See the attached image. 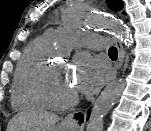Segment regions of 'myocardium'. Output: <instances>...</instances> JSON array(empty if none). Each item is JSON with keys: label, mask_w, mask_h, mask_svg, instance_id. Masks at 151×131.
<instances>
[{"label": "myocardium", "mask_w": 151, "mask_h": 131, "mask_svg": "<svg viewBox=\"0 0 151 131\" xmlns=\"http://www.w3.org/2000/svg\"><path fill=\"white\" fill-rule=\"evenodd\" d=\"M52 73L53 66L46 65L37 78L35 92L41 105L53 110H64L74 106L78 102L77 94H73L62 100H55L50 97L47 90V84Z\"/></svg>", "instance_id": "1"}]
</instances>
